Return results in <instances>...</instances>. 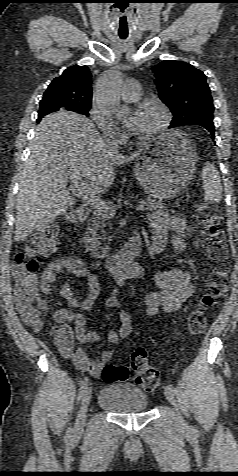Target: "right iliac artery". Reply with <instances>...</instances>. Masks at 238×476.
Instances as JSON below:
<instances>
[{"label":"right iliac artery","mask_w":238,"mask_h":476,"mask_svg":"<svg viewBox=\"0 0 238 476\" xmlns=\"http://www.w3.org/2000/svg\"><path fill=\"white\" fill-rule=\"evenodd\" d=\"M88 383H89V378L88 377H85L84 380L82 381L81 383V386H80V391H79V395H78V400H80L88 386ZM71 433H72V429L69 427V429L67 430L66 432V435H65V439L66 440H69L70 437H71Z\"/></svg>","instance_id":"1"}]
</instances>
